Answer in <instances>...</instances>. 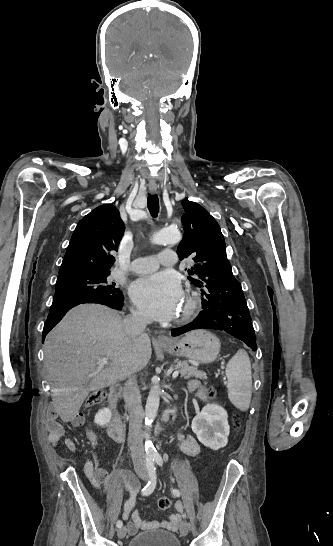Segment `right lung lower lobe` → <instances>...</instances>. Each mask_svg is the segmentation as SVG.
<instances>
[{
	"instance_id": "right-lung-lower-lobe-1",
	"label": "right lung lower lobe",
	"mask_w": 333,
	"mask_h": 546,
	"mask_svg": "<svg viewBox=\"0 0 333 546\" xmlns=\"http://www.w3.org/2000/svg\"><path fill=\"white\" fill-rule=\"evenodd\" d=\"M122 295H92L53 301L48 318L43 329V340L48 332L62 319L68 310L84 303H99L116 310H121L123 305Z\"/></svg>"
}]
</instances>
